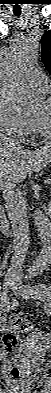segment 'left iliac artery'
I'll return each mask as SVG.
<instances>
[{
    "mask_svg": "<svg viewBox=\"0 0 51 393\" xmlns=\"http://www.w3.org/2000/svg\"><path fill=\"white\" fill-rule=\"evenodd\" d=\"M31 279V277H29ZM29 291L31 292L32 295H38L39 298H44L47 300V307H48V312L51 314V286L50 285H35V286H29Z\"/></svg>",
    "mask_w": 51,
    "mask_h": 393,
    "instance_id": "44dca946",
    "label": "left iliac artery"
}]
</instances>
